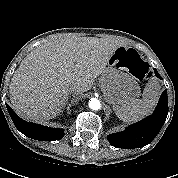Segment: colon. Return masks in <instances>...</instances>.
<instances>
[{
	"label": "colon",
	"instance_id": "obj_1",
	"mask_svg": "<svg viewBox=\"0 0 178 178\" xmlns=\"http://www.w3.org/2000/svg\"><path fill=\"white\" fill-rule=\"evenodd\" d=\"M131 73L137 79H140V80L146 79L150 75L149 66L143 61H138L132 66Z\"/></svg>",
	"mask_w": 178,
	"mask_h": 178
}]
</instances>
